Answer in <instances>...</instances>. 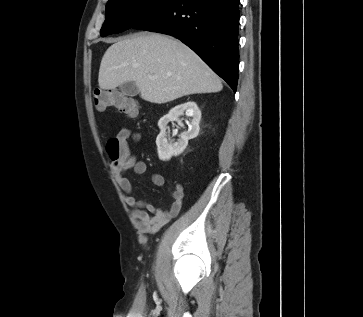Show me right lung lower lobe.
Returning a JSON list of instances; mask_svg holds the SVG:
<instances>
[{
	"mask_svg": "<svg viewBox=\"0 0 363 317\" xmlns=\"http://www.w3.org/2000/svg\"><path fill=\"white\" fill-rule=\"evenodd\" d=\"M239 0H177L133 28L174 36L236 92Z\"/></svg>",
	"mask_w": 363,
	"mask_h": 317,
	"instance_id": "right-lung-lower-lobe-1",
	"label": "right lung lower lobe"
}]
</instances>
